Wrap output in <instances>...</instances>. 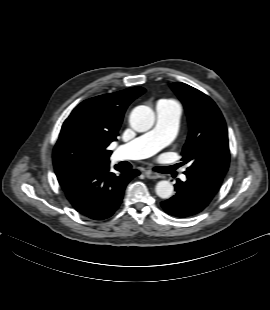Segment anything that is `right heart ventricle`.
Here are the masks:
<instances>
[{"label": "right heart ventricle", "instance_id": "e07e8e85", "mask_svg": "<svg viewBox=\"0 0 270 310\" xmlns=\"http://www.w3.org/2000/svg\"><path fill=\"white\" fill-rule=\"evenodd\" d=\"M164 101L176 104V102H174L172 100H164Z\"/></svg>", "mask_w": 270, "mask_h": 310}]
</instances>
